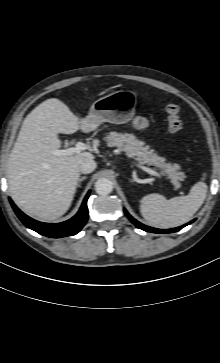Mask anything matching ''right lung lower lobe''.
Segmentation results:
<instances>
[{
	"mask_svg": "<svg viewBox=\"0 0 220 363\" xmlns=\"http://www.w3.org/2000/svg\"><path fill=\"white\" fill-rule=\"evenodd\" d=\"M89 194L90 192H88L85 196L79 212L73 218L57 224L38 222L20 211L11 199L10 203L15 213L26 227L47 237L61 238L77 234L85 225L88 219L87 199L89 197Z\"/></svg>",
	"mask_w": 220,
	"mask_h": 363,
	"instance_id": "1",
	"label": "right lung lower lobe"
}]
</instances>
